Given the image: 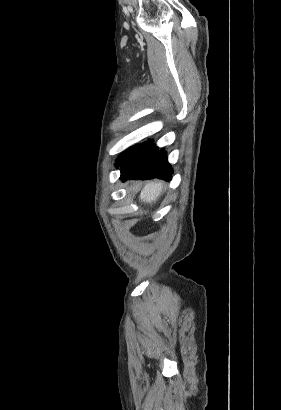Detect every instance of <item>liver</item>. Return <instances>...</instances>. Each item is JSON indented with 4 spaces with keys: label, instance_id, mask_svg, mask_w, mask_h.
Masks as SVG:
<instances>
[{
    "label": "liver",
    "instance_id": "6515ba94",
    "mask_svg": "<svg viewBox=\"0 0 281 410\" xmlns=\"http://www.w3.org/2000/svg\"><path fill=\"white\" fill-rule=\"evenodd\" d=\"M163 188L162 182L147 183L140 193L141 202L152 203L160 195Z\"/></svg>",
    "mask_w": 281,
    "mask_h": 410
}]
</instances>
